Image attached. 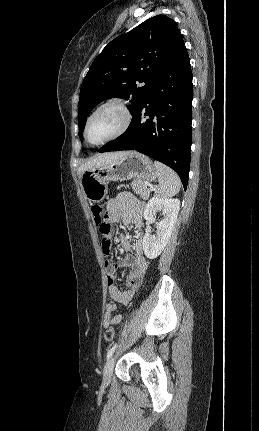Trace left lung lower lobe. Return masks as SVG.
Listing matches in <instances>:
<instances>
[{
	"label": "left lung lower lobe",
	"mask_w": 259,
	"mask_h": 431,
	"mask_svg": "<svg viewBox=\"0 0 259 431\" xmlns=\"http://www.w3.org/2000/svg\"><path fill=\"white\" fill-rule=\"evenodd\" d=\"M192 77L183 42L132 115L128 129L99 151L136 150L150 156L176 171L186 189L190 171Z\"/></svg>",
	"instance_id": "left-lung-lower-lobe-1"
}]
</instances>
